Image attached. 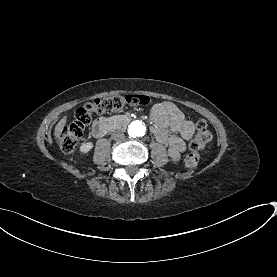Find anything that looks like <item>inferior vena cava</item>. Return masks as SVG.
Instances as JSON below:
<instances>
[{
  "label": "inferior vena cava",
  "mask_w": 277,
  "mask_h": 277,
  "mask_svg": "<svg viewBox=\"0 0 277 277\" xmlns=\"http://www.w3.org/2000/svg\"><path fill=\"white\" fill-rule=\"evenodd\" d=\"M111 137L115 141H122L125 138V134L122 131L116 130L112 132Z\"/></svg>",
  "instance_id": "1"
}]
</instances>
